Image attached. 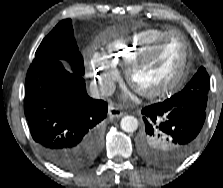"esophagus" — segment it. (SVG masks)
<instances>
[{"label": "esophagus", "instance_id": "obj_1", "mask_svg": "<svg viewBox=\"0 0 223 188\" xmlns=\"http://www.w3.org/2000/svg\"><path fill=\"white\" fill-rule=\"evenodd\" d=\"M108 116L110 118H119V117L123 116V112L119 108L110 104L108 107Z\"/></svg>", "mask_w": 223, "mask_h": 188}]
</instances>
